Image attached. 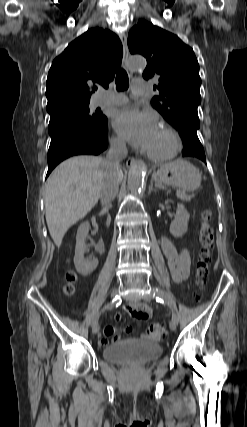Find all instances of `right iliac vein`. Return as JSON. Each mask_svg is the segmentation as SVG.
<instances>
[{
	"label": "right iliac vein",
	"mask_w": 247,
	"mask_h": 427,
	"mask_svg": "<svg viewBox=\"0 0 247 427\" xmlns=\"http://www.w3.org/2000/svg\"><path fill=\"white\" fill-rule=\"evenodd\" d=\"M117 295H118V289H114V290H112V292H111V297H112V298H114V297H116ZM99 329H100V326H99V323H98V320H97V321H95V322L92 324V332H93V334L98 333V332H99Z\"/></svg>",
	"instance_id": "63e3f726"
}]
</instances>
